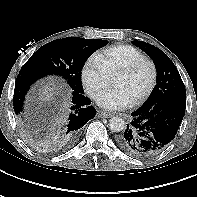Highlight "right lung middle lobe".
Instances as JSON below:
<instances>
[{
    "label": "right lung middle lobe",
    "mask_w": 197,
    "mask_h": 197,
    "mask_svg": "<svg viewBox=\"0 0 197 197\" xmlns=\"http://www.w3.org/2000/svg\"><path fill=\"white\" fill-rule=\"evenodd\" d=\"M106 40L67 37L49 42L39 48L24 64L22 70L42 75H58L67 80L73 92L83 93L81 70L89 56L107 45Z\"/></svg>",
    "instance_id": "obj_1"
}]
</instances>
